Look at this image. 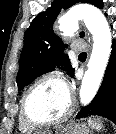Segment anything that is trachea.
I'll return each mask as SVG.
<instances>
[{
  "label": "trachea",
  "mask_w": 116,
  "mask_h": 134,
  "mask_svg": "<svg viewBox=\"0 0 116 134\" xmlns=\"http://www.w3.org/2000/svg\"><path fill=\"white\" fill-rule=\"evenodd\" d=\"M87 56V53L86 52H82L79 54V57H86Z\"/></svg>",
  "instance_id": "trachea-1"
}]
</instances>
